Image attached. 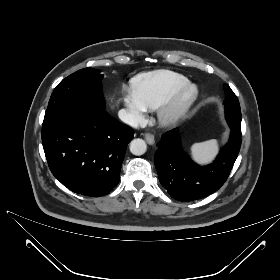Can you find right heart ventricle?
<instances>
[{
    "label": "right heart ventricle",
    "mask_w": 280,
    "mask_h": 280,
    "mask_svg": "<svg viewBox=\"0 0 280 280\" xmlns=\"http://www.w3.org/2000/svg\"><path fill=\"white\" fill-rule=\"evenodd\" d=\"M188 78L178 72L160 69L138 74L132 79V91L146 110L157 109Z\"/></svg>",
    "instance_id": "e07e8e85"
}]
</instances>
